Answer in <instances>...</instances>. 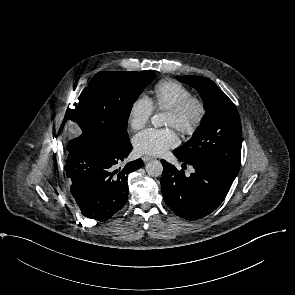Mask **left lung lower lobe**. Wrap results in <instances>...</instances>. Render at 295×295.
Returning a JSON list of instances; mask_svg holds the SVG:
<instances>
[{"label": "left lung lower lobe", "mask_w": 295, "mask_h": 295, "mask_svg": "<svg viewBox=\"0 0 295 295\" xmlns=\"http://www.w3.org/2000/svg\"><path fill=\"white\" fill-rule=\"evenodd\" d=\"M174 155L195 169L189 177L183 170L161 160L163 173L161 190L164 201L178 216L196 220L213 212L225 199L235 177L219 166L204 162H187L175 151Z\"/></svg>", "instance_id": "obj_1"}]
</instances>
